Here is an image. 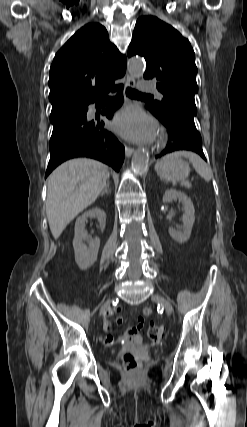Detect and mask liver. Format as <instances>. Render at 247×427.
<instances>
[{"mask_svg":"<svg viewBox=\"0 0 247 427\" xmlns=\"http://www.w3.org/2000/svg\"><path fill=\"white\" fill-rule=\"evenodd\" d=\"M109 174L106 165L88 158L69 160L50 174L46 214L55 239L80 212L97 199Z\"/></svg>","mask_w":247,"mask_h":427,"instance_id":"liver-1","label":"liver"}]
</instances>
